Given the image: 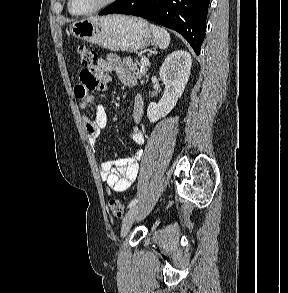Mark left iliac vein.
<instances>
[{"label": "left iliac vein", "instance_id": "4c4485c4", "mask_svg": "<svg viewBox=\"0 0 288 293\" xmlns=\"http://www.w3.org/2000/svg\"><path fill=\"white\" fill-rule=\"evenodd\" d=\"M141 211V205H135L126 214L123 219L122 229H121V236L124 237L129 229L131 228L133 222L136 220L138 214Z\"/></svg>", "mask_w": 288, "mask_h": 293}]
</instances>
